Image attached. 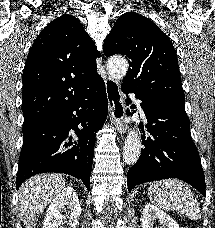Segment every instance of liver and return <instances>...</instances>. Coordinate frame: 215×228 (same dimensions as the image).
Segmentation results:
<instances>
[{
    "label": "liver",
    "mask_w": 215,
    "mask_h": 228,
    "mask_svg": "<svg viewBox=\"0 0 215 228\" xmlns=\"http://www.w3.org/2000/svg\"><path fill=\"white\" fill-rule=\"evenodd\" d=\"M61 174H39L26 180L18 190L19 210L24 228H35L39 214L63 190Z\"/></svg>",
    "instance_id": "1"
}]
</instances>
